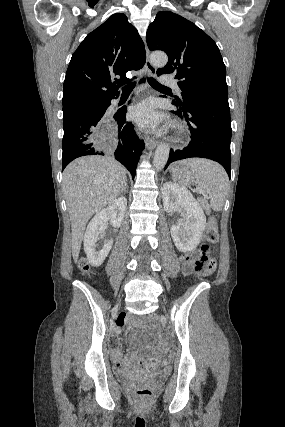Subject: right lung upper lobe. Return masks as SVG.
<instances>
[{
    "label": "right lung upper lobe",
    "instance_id": "1",
    "mask_svg": "<svg viewBox=\"0 0 285 427\" xmlns=\"http://www.w3.org/2000/svg\"><path fill=\"white\" fill-rule=\"evenodd\" d=\"M146 53L142 39L124 14H113L89 33L73 53L63 87V113L111 100L126 73L142 68Z\"/></svg>",
    "mask_w": 285,
    "mask_h": 427
}]
</instances>
